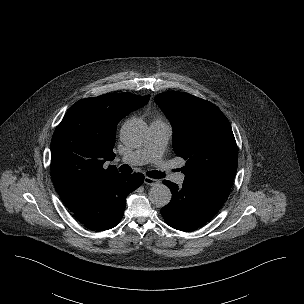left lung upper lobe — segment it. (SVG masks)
<instances>
[{
    "mask_svg": "<svg viewBox=\"0 0 304 304\" xmlns=\"http://www.w3.org/2000/svg\"><path fill=\"white\" fill-rule=\"evenodd\" d=\"M155 102L173 127V149L186 160L184 184L226 199L237 170L231 125L214 104L188 93L158 94Z\"/></svg>",
    "mask_w": 304,
    "mask_h": 304,
    "instance_id": "obj_1",
    "label": "left lung upper lobe"
}]
</instances>
